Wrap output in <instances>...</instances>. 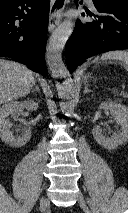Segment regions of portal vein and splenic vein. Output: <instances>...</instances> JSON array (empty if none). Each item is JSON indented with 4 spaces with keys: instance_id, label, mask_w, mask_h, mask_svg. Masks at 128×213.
<instances>
[{
    "instance_id": "1",
    "label": "portal vein and splenic vein",
    "mask_w": 128,
    "mask_h": 213,
    "mask_svg": "<svg viewBox=\"0 0 128 213\" xmlns=\"http://www.w3.org/2000/svg\"><path fill=\"white\" fill-rule=\"evenodd\" d=\"M120 95L123 97H128V94L124 90L120 91Z\"/></svg>"
}]
</instances>
